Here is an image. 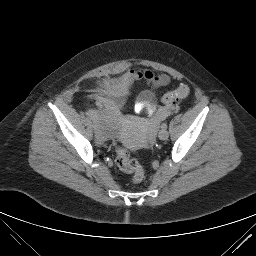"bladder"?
Returning a JSON list of instances; mask_svg holds the SVG:
<instances>
[{
  "label": "bladder",
  "mask_w": 256,
  "mask_h": 256,
  "mask_svg": "<svg viewBox=\"0 0 256 256\" xmlns=\"http://www.w3.org/2000/svg\"><path fill=\"white\" fill-rule=\"evenodd\" d=\"M154 98L152 91H144L141 94L142 101H151ZM94 112V111H93ZM96 116V124L103 132V136L107 139H116L120 136V129L117 124V119L114 113L109 110H98L94 112Z\"/></svg>",
  "instance_id": "obj_1"
}]
</instances>
